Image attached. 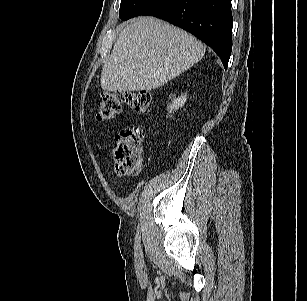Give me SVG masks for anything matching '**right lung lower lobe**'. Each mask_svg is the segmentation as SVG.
Wrapping results in <instances>:
<instances>
[{
	"label": "right lung lower lobe",
	"mask_w": 307,
	"mask_h": 301,
	"mask_svg": "<svg viewBox=\"0 0 307 301\" xmlns=\"http://www.w3.org/2000/svg\"><path fill=\"white\" fill-rule=\"evenodd\" d=\"M140 15H151L181 27L210 46L224 68L232 49L231 0H161Z\"/></svg>",
	"instance_id": "1"
}]
</instances>
